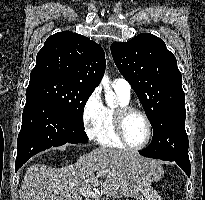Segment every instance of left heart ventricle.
Returning <instances> with one entry per match:
<instances>
[{
	"mask_svg": "<svg viewBox=\"0 0 205 200\" xmlns=\"http://www.w3.org/2000/svg\"><path fill=\"white\" fill-rule=\"evenodd\" d=\"M147 135V124L140 115L133 114L128 117L125 122V136L131 145H141L146 140Z\"/></svg>",
	"mask_w": 205,
	"mask_h": 200,
	"instance_id": "obj_1",
	"label": "left heart ventricle"
}]
</instances>
